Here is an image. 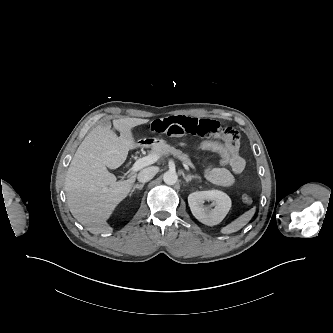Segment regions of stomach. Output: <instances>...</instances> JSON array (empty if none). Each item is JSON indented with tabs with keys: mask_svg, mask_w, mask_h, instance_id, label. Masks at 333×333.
Listing matches in <instances>:
<instances>
[{
	"mask_svg": "<svg viewBox=\"0 0 333 333\" xmlns=\"http://www.w3.org/2000/svg\"><path fill=\"white\" fill-rule=\"evenodd\" d=\"M145 143H147L149 146H154L158 143H164V140L158 138H149L145 141Z\"/></svg>",
	"mask_w": 333,
	"mask_h": 333,
	"instance_id": "0dacf381",
	"label": "stomach"
}]
</instances>
